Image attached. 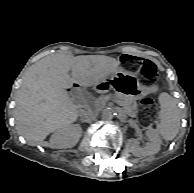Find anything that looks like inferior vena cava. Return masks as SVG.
<instances>
[{
    "instance_id": "602c4592",
    "label": "inferior vena cava",
    "mask_w": 194,
    "mask_h": 193,
    "mask_svg": "<svg viewBox=\"0 0 194 193\" xmlns=\"http://www.w3.org/2000/svg\"><path fill=\"white\" fill-rule=\"evenodd\" d=\"M96 117H97V112L90 110V111H87V112L84 114L83 120H84V121H90V120L95 119Z\"/></svg>"
}]
</instances>
